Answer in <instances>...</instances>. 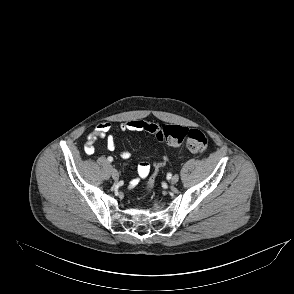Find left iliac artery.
<instances>
[{"label": "left iliac artery", "mask_w": 294, "mask_h": 294, "mask_svg": "<svg viewBox=\"0 0 294 294\" xmlns=\"http://www.w3.org/2000/svg\"><path fill=\"white\" fill-rule=\"evenodd\" d=\"M173 175H174V172L169 171V172H167L166 177H167L168 180H170V179H172Z\"/></svg>", "instance_id": "left-iliac-artery-1"}]
</instances>
